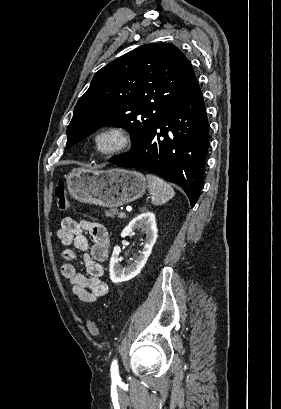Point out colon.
<instances>
[{
  "instance_id": "colon-1",
  "label": "colon",
  "mask_w": 281,
  "mask_h": 409,
  "mask_svg": "<svg viewBox=\"0 0 281 409\" xmlns=\"http://www.w3.org/2000/svg\"><path fill=\"white\" fill-rule=\"evenodd\" d=\"M55 192H56V196H57L56 206H57L58 210L59 211H67L68 208H69V199H68L67 194H66V192L64 190V187L62 185L58 184L56 186ZM86 327L88 329H90V332L93 335H96V334H98L100 332V325H99L98 322H95V321L88 322L86 324Z\"/></svg>"
}]
</instances>
